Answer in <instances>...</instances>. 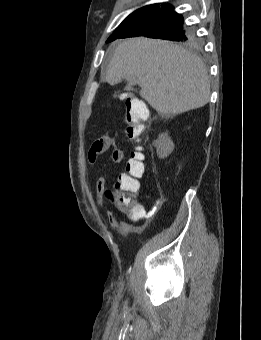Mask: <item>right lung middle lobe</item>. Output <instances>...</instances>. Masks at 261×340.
Returning a JSON list of instances; mask_svg holds the SVG:
<instances>
[{
  "instance_id": "dd1d6c3e",
  "label": "right lung middle lobe",
  "mask_w": 261,
  "mask_h": 340,
  "mask_svg": "<svg viewBox=\"0 0 261 340\" xmlns=\"http://www.w3.org/2000/svg\"><path fill=\"white\" fill-rule=\"evenodd\" d=\"M158 4L147 5L140 9H137L133 13H131L125 20L118 26V28L114 31V33L109 37L107 42H111L117 39L122 33H124L127 29H129L132 25H134L137 21H139L142 17H144L147 13L156 8ZM172 41H181L188 45H197V38L195 37V33L193 29L186 28L183 32L178 34H174L171 38Z\"/></svg>"
}]
</instances>
